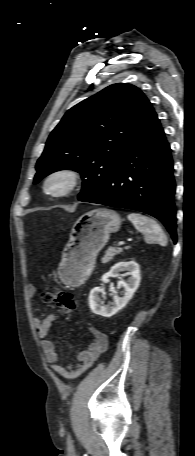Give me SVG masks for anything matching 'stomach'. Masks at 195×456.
<instances>
[{
  "mask_svg": "<svg viewBox=\"0 0 195 456\" xmlns=\"http://www.w3.org/2000/svg\"><path fill=\"white\" fill-rule=\"evenodd\" d=\"M120 225L121 217L110 209H95L80 216L62 253L60 278L72 286L84 283L94 269L97 254Z\"/></svg>",
  "mask_w": 195,
  "mask_h": 456,
  "instance_id": "obj_1",
  "label": "stomach"
}]
</instances>
